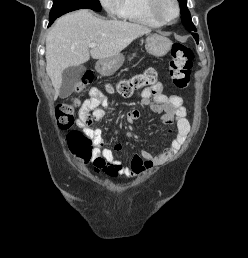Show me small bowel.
<instances>
[{
  "label": "small bowel",
  "instance_id": "1",
  "mask_svg": "<svg viewBox=\"0 0 248 258\" xmlns=\"http://www.w3.org/2000/svg\"><path fill=\"white\" fill-rule=\"evenodd\" d=\"M160 88H155L156 98L151 101L153 91L145 88L140 93L141 104L150 106L153 112L161 113V122L168 126V131H171V126H176V135L171 142V145L165 148L157 155H153L146 150H141L138 154L132 157L129 166H124L118 160L114 153L110 150L102 151L103 138L102 131L99 128H93L94 121H99L104 118L105 108L109 105V99L96 87L89 91V98L84 100L78 110V119L76 126L87 133L93 140L96 149L94 152V163L100 169H112L117 175H122L126 178H133L144 174L147 170L160 166L174 158L176 153L185 143L187 135L190 131V124L186 118V109L183 106V100L178 95L166 97L159 93ZM140 116V112L134 109L129 112L128 120L135 121ZM121 146L116 145L115 150H120Z\"/></svg>",
  "mask_w": 248,
  "mask_h": 258
}]
</instances>
